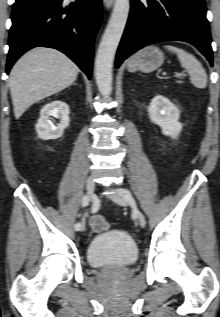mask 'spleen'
Returning <instances> with one entry per match:
<instances>
[{
    "instance_id": "spleen-1",
    "label": "spleen",
    "mask_w": 220,
    "mask_h": 317,
    "mask_svg": "<svg viewBox=\"0 0 220 317\" xmlns=\"http://www.w3.org/2000/svg\"><path fill=\"white\" fill-rule=\"evenodd\" d=\"M165 48L173 53H176L181 67H183L190 75L191 83L200 89L207 85V74L201 63L194 57V55L186 52L183 49L175 46L166 45Z\"/></svg>"
}]
</instances>
